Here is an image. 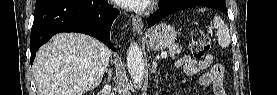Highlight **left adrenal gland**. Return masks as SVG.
<instances>
[{
  "label": "left adrenal gland",
  "mask_w": 277,
  "mask_h": 95,
  "mask_svg": "<svg viewBox=\"0 0 277 95\" xmlns=\"http://www.w3.org/2000/svg\"><path fill=\"white\" fill-rule=\"evenodd\" d=\"M156 67V61L153 62V69Z\"/></svg>",
  "instance_id": "left-adrenal-gland-1"
}]
</instances>
